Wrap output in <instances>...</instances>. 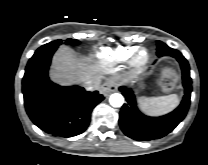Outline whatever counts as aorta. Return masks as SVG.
<instances>
[{
  "mask_svg": "<svg viewBox=\"0 0 208 165\" xmlns=\"http://www.w3.org/2000/svg\"><path fill=\"white\" fill-rule=\"evenodd\" d=\"M109 103L113 107H121L124 103V97L120 93H114L110 96Z\"/></svg>",
  "mask_w": 208,
  "mask_h": 165,
  "instance_id": "762f6f07",
  "label": "aorta"
}]
</instances>
